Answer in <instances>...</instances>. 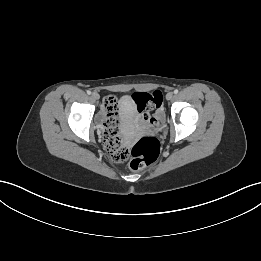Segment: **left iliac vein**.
Instances as JSON below:
<instances>
[{"label":"left iliac vein","instance_id":"left-iliac-vein-1","mask_svg":"<svg viewBox=\"0 0 261 261\" xmlns=\"http://www.w3.org/2000/svg\"><path fill=\"white\" fill-rule=\"evenodd\" d=\"M173 97H174L173 92H168V93L166 94V99H167V100H172Z\"/></svg>","mask_w":261,"mask_h":261}]
</instances>
